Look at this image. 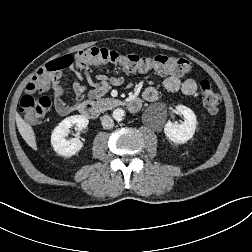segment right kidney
Segmentation results:
<instances>
[{"label":"right kidney","instance_id":"ca27d5eb","mask_svg":"<svg viewBox=\"0 0 252 252\" xmlns=\"http://www.w3.org/2000/svg\"><path fill=\"white\" fill-rule=\"evenodd\" d=\"M88 123V118L82 115L70 116L61 121L51 135V144L55 152L66 157H71L79 152L83 147L80 139L76 137L66 140V136L71 126L76 125L77 129L81 131L87 127Z\"/></svg>","mask_w":252,"mask_h":252}]
</instances>
